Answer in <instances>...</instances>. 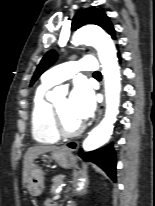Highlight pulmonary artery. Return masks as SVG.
Instances as JSON below:
<instances>
[{
  "label": "pulmonary artery",
  "mask_w": 155,
  "mask_h": 206,
  "mask_svg": "<svg viewBox=\"0 0 155 206\" xmlns=\"http://www.w3.org/2000/svg\"><path fill=\"white\" fill-rule=\"evenodd\" d=\"M98 68L94 57H84L77 61H70L59 64L43 75V81L49 84H58L70 79L78 71H96Z\"/></svg>",
  "instance_id": "1"
}]
</instances>
